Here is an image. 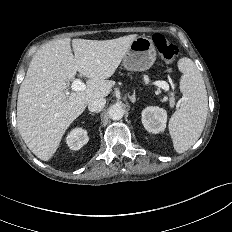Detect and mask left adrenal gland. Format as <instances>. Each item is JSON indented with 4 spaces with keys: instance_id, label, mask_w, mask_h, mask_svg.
Listing matches in <instances>:
<instances>
[{
    "instance_id": "obj_1",
    "label": "left adrenal gland",
    "mask_w": 232,
    "mask_h": 232,
    "mask_svg": "<svg viewBox=\"0 0 232 232\" xmlns=\"http://www.w3.org/2000/svg\"><path fill=\"white\" fill-rule=\"evenodd\" d=\"M129 99L132 103H135L136 101V97H135V94H133L132 96H129Z\"/></svg>"
}]
</instances>
